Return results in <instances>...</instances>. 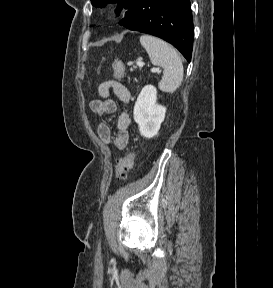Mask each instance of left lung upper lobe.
Returning a JSON list of instances; mask_svg holds the SVG:
<instances>
[{"instance_id": "obj_1", "label": "left lung upper lobe", "mask_w": 273, "mask_h": 288, "mask_svg": "<svg viewBox=\"0 0 273 288\" xmlns=\"http://www.w3.org/2000/svg\"><path fill=\"white\" fill-rule=\"evenodd\" d=\"M111 2H117L126 9H130L134 0H91L92 5L95 7H104L107 3ZM116 13L119 15L120 11L117 10Z\"/></svg>"}]
</instances>
